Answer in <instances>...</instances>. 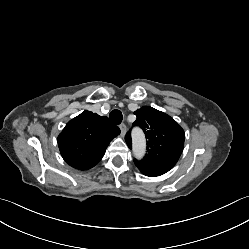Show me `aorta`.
<instances>
[{
  "label": "aorta",
  "instance_id": "762f6f07",
  "mask_svg": "<svg viewBox=\"0 0 249 249\" xmlns=\"http://www.w3.org/2000/svg\"><path fill=\"white\" fill-rule=\"evenodd\" d=\"M133 153L138 159L142 158L146 151V140L143 132L140 129H135L132 133Z\"/></svg>",
  "mask_w": 249,
  "mask_h": 249
}]
</instances>
